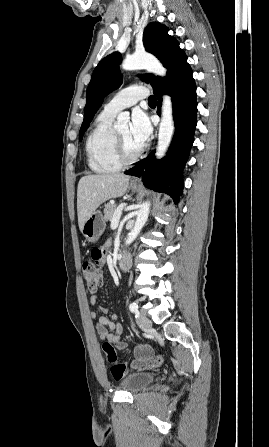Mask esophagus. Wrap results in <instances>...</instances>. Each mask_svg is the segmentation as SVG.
Segmentation results:
<instances>
[{
	"label": "esophagus",
	"instance_id": "esophagus-1",
	"mask_svg": "<svg viewBox=\"0 0 269 447\" xmlns=\"http://www.w3.org/2000/svg\"><path fill=\"white\" fill-rule=\"evenodd\" d=\"M131 183H134V184L141 183V180L139 178H136V179L131 180Z\"/></svg>",
	"mask_w": 269,
	"mask_h": 447
}]
</instances>
